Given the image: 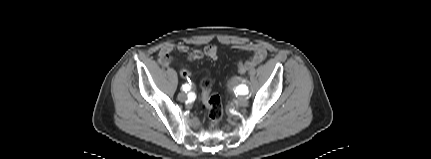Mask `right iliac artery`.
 Masks as SVG:
<instances>
[{
    "mask_svg": "<svg viewBox=\"0 0 431 159\" xmlns=\"http://www.w3.org/2000/svg\"><path fill=\"white\" fill-rule=\"evenodd\" d=\"M182 90L185 91V92H187V91L190 90V86L188 84H185V85L182 86Z\"/></svg>",
    "mask_w": 431,
    "mask_h": 159,
    "instance_id": "right-iliac-artery-1",
    "label": "right iliac artery"
}]
</instances>
